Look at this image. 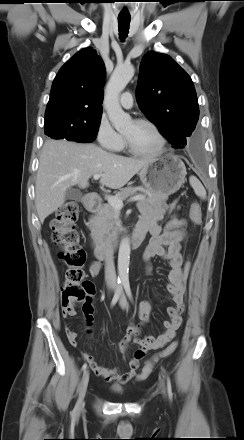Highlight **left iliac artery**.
<instances>
[{"label":"left iliac artery","instance_id":"left-iliac-artery-1","mask_svg":"<svg viewBox=\"0 0 244 440\" xmlns=\"http://www.w3.org/2000/svg\"><path fill=\"white\" fill-rule=\"evenodd\" d=\"M123 285H124V289H125L126 294L130 298V300H132V293H131L129 282H124ZM167 391H168L169 399L172 400V395H173L172 394V387H171L170 378L168 376H167Z\"/></svg>","mask_w":244,"mask_h":440}]
</instances>
